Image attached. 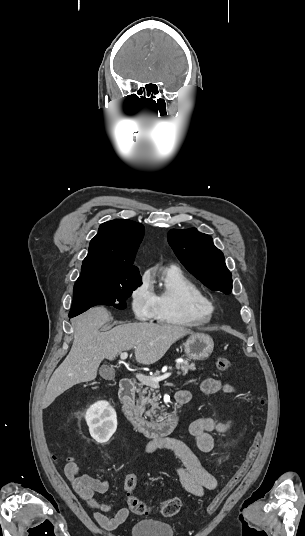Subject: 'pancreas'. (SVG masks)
Returning a JSON list of instances; mask_svg holds the SVG:
<instances>
[{
  "label": "pancreas",
  "instance_id": "1",
  "mask_svg": "<svg viewBox=\"0 0 305 536\" xmlns=\"http://www.w3.org/2000/svg\"><path fill=\"white\" fill-rule=\"evenodd\" d=\"M172 370V368H170ZM176 370H180V372H176L178 376L182 374V376H186L188 374L189 370H196L195 364H189L188 360H184L182 364H176ZM157 376H160L159 372H155L154 376H149V378H157ZM138 388L136 390L138 394V400L136 402V410H139L141 414H145V416H148L150 420H154V416L156 418L157 410L156 408H159V398L160 394H158V390H154V386H151L150 382L149 384H137ZM143 386H147V388H143ZM151 406L150 410H146V408H149Z\"/></svg>",
  "mask_w": 305,
  "mask_h": 536
}]
</instances>
